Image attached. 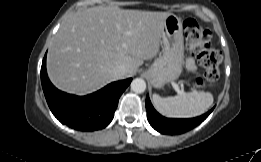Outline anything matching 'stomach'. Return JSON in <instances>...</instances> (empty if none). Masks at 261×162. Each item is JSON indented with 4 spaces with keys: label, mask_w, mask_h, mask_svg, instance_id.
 I'll return each mask as SVG.
<instances>
[{
    "label": "stomach",
    "mask_w": 261,
    "mask_h": 162,
    "mask_svg": "<svg viewBox=\"0 0 261 162\" xmlns=\"http://www.w3.org/2000/svg\"><path fill=\"white\" fill-rule=\"evenodd\" d=\"M163 49L157 60L146 71L150 83L161 88L180 76L184 63V39L182 20L170 14L161 33Z\"/></svg>",
    "instance_id": "0dacf381"
}]
</instances>
